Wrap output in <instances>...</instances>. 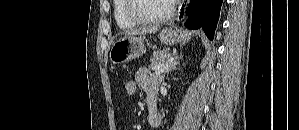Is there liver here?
Segmentation results:
<instances>
[{"label":"liver","instance_id":"6515ba94","mask_svg":"<svg viewBox=\"0 0 299 130\" xmlns=\"http://www.w3.org/2000/svg\"><path fill=\"white\" fill-rule=\"evenodd\" d=\"M158 29H159L158 26H154L152 28H147V29H143V30H131V31L127 32V35L133 36V35L151 34V33L157 32Z\"/></svg>","mask_w":299,"mask_h":130}]
</instances>
